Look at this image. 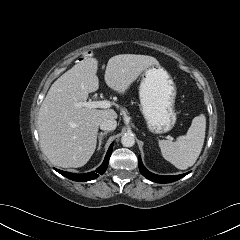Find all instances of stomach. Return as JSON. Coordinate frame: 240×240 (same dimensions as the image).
Returning <instances> with one entry per match:
<instances>
[{"instance_id":"stomach-1","label":"stomach","mask_w":240,"mask_h":240,"mask_svg":"<svg viewBox=\"0 0 240 240\" xmlns=\"http://www.w3.org/2000/svg\"><path fill=\"white\" fill-rule=\"evenodd\" d=\"M176 93L172 77L159 64L145 70L139 87L140 109L152 133H166L174 127Z\"/></svg>"}]
</instances>
